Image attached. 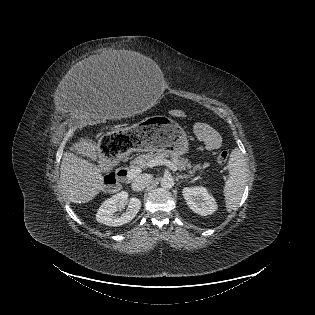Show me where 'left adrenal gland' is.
<instances>
[{"mask_svg": "<svg viewBox=\"0 0 315 315\" xmlns=\"http://www.w3.org/2000/svg\"><path fill=\"white\" fill-rule=\"evenodd\" d=\"M177 177H178L179 179H183V178H188V177H190V175L177 174Z\"/></svg>", "mask_w": 315, "mask_h": 315, "instance_id": "left-adrenal-gland-1", "label": "left adrenal gland"}]
</instances>
